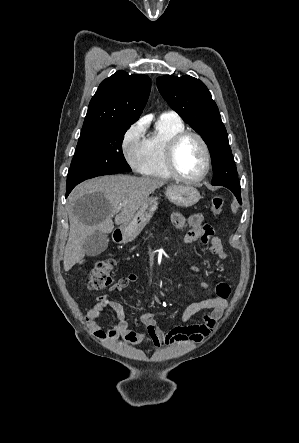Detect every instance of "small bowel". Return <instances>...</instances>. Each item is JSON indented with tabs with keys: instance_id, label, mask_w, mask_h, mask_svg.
<instances>
[{
	"instance_id": "obj_1",
	"label": "small bowel",
	"mask_w": 299,
	"mask_h": 443,
	"mask_svg": "<svg viewBox=\"0 0 299 443\" xmlns=\"http://www.w3.org/2000/svg\"><path fill=\"white\" fill-rule=\"evenodd\" d=\"M171 219L173 225L178 229L190 227L183 239L186 245H191L200 240L220 261L228 260L229 255L221 239L216 236L211 225L205 222L202 214H193L187 217L182 213H173ZM188 268L193 272L200 271L194 265H190ZM136 281V274L121 277L109 287V292L123 291ZM230 292L231 288L227 282L221 281L217 283L213 296L188 304L181 313L182 325L174 327L167 332L160 329L155 320L154 313H144L141 315V321L147 330L146 333L129 329L122 304L119 301L110 299L106 294L97 297L96 305L86 314V323L96 337L109 342H116L121 338L126 342L137 345L142 343L147 337L157 347L187 341L200 342L213 332L217 321L222 317L228 306L227 299ZM105 308H110L117 317L116 323L110 325L107 330H104L98 323V319ZM207 310L210 312L203 317L202 322H190L193 316Z\"/></svg>"
}]
</instances>
